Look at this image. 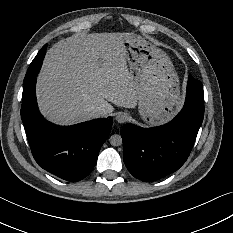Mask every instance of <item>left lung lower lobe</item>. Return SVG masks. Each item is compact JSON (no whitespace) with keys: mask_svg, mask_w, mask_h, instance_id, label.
I'll return each mask as SVG.
<instances>
[{"mask_svg":"<svg viewBox=\"0 0 233 233\" xmlns=\"http://www.w3.org/2000/svg\"><path fill=\"white\" fill-rule=\"evenodd\" d=\"M203 116V85L189 76L184 107L172 121L153 128L122 126L123 159L129 172L152 182L178 170L190 155Z\"/></svg>","mask_w":233,"mask_h":233,"instance_id":"0a47b994","label":"left lung lower lobe"}]
</instances>
